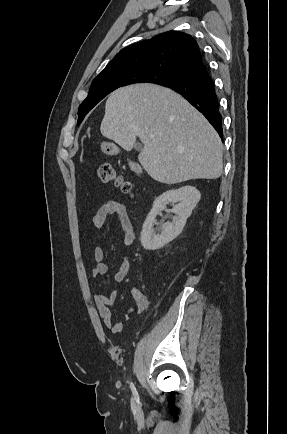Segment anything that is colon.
Returning a JSON list of instances; mask_svg holds the SVG:
<instances>
[{
  "label": "colon",
  "instance_id": "colon-1",
  "mask_svg": "<svg viewBox=\"0 0 287 434\" xmlns=\"http://www.w3.org/2000/svg\"><path fill=\"white\" fill-rule=\"evenodd\" d=\"M97 175L103 183H112L119 187L124 193L131 194V184L117 172L111 163L105 162L99 165Z\"/></svg>",
  "mask_w": 287,
  "mask_h": 434
}]
</instances>
